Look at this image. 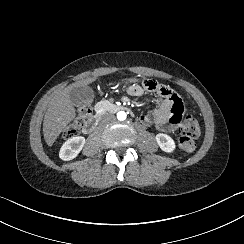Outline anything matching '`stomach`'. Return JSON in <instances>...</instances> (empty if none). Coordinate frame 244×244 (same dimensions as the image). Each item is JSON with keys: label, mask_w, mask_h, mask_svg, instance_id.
<instances>
[{"label": "stomach", "mask_w": 244, "mask_h": 244, "mask_svg": "<svg viewBox=\"0 0 244 244\" xmlns=\"http://www.w3.org/2000/svg\"><path fill=\"white\" fill-rule=\"evenodd\" d=\"M137 82H140V80L137 78H129V79L125 80L123 83L124 84H131V83H137Z\"/></svg>", "instance_id": "obj_1"}]
</instances>
